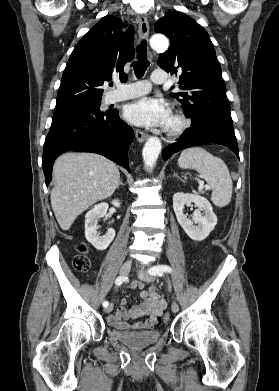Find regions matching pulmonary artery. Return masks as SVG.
Listing matches in <instances>:
<instances>
[{"mask_svg":"<svg viewBox=\"0 0 279 391\" xmlns=\"http://www.w3.org/2000/svg\"><path fill=\"white\" fill-rule=\"evenodd\" d=\"M151 80L156 84L165 83L167 78L163 71L158 70L152 73ZM151 86L147 81H141L131 84H126L123 88H119L111 92L107 98V103H115L127 99H132L149 92Z\"/></svg>","mask_w":279,"mask_h":391,"instance_id":"1","label":"pulmonary artery"}]
</instances>
